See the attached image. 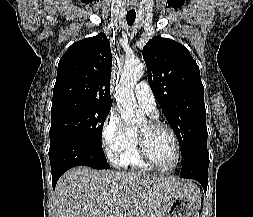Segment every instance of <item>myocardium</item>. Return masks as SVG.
<instances>
[{"mask_svg":"<svg viewBox=\"0 0 253 217\" xmlns=\"http://www.w3.org/2000/svg\"><path fill=\"white\" fill-rule=\"evenodd\" d=\"M148 125L150 129L152 130H158V129H163L166 130L172 137L174 145H175V161L173 165L170 168H161L156 163L153 161L151 158L148 150H147V145H146V139L143 135L137 133V148H138V153L143 160V162L148 165L151 169L155 170L156 172L162 173V174H169L173 171H175L180 163V158H181V146H180V141L179 138L174 131V129L169 126L168 124L161 123V122H154L150 121L148 122Z\"/></svg>","mask_w":253,"mask_h":217,"instance_id":"obj_1","label":"myocardium"}]
</instances>
